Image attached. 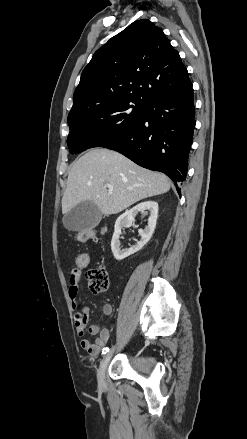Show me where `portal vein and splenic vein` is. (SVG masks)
Listing matches in <instances>:
<instances>
[{"label": "portal vein and splenic vein", "instance_id": "1", "mask_svg": "<svg viewBox=\"0 0 247 439\" xmlns=\"http://www.w3.org/2000/svg\"><path fill=\"white\" fill-rule=\"evenodd\" d=\"M106 187L111 191V190H113V185H111V184H106Z\"/></svg>", "mask_w": 247, "mask_h": 439}]
</instances>
